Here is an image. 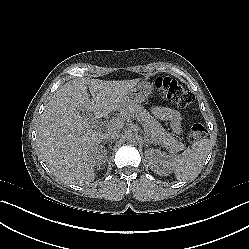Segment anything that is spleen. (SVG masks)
I'll return each mask as SVG.
<instances>
[{"instance_id":"1","label":"spleen","mask_w":249,"mask_h":249,"mask_svg":"<svg viewBox=\"0 0 249 249\" xmlns=\"http://www.w3.org/2000/svg\"><path fill=\"white\" fill-rule=\"evenodd\" d=\"M210 151V141L202 139L195 142L191 149L182 154H162L160 162L164 168L174 172H193L200 170Z\"/></svg>"}]
</instances>
